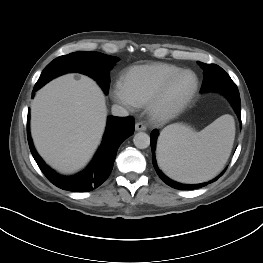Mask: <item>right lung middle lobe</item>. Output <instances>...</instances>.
Wrapping results in <instances>:
<instances>
[{
  "mask_svg": "<svg viewBox=\"0 0 263 263\" xmlns=\"http://www.w3.org/2000/svg\"><path fill=\"white\" fill-rule=\"evenodd\" d=\"M118 58L98 52H74L50 62L41 73L37 85L43 86L51 79L68 72H79L98 81L105 93L109 89V71Z\"/></svg>",
  "mask_w": 263,
  "mask_h": 263,
  "instance_id": "right-lung-middle-lobe-1",
  "label": "right lung middle lobe"
}]
</instances>
